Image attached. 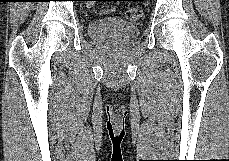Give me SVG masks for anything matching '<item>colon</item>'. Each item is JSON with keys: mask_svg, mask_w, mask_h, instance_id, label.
Masks as SVG:
<instances>
[{"mask_svg": "<svg viewBox=\"0 0 229 161\" xmlns=\"http://www.w3.org/2000/svg\"><path fill=\"white\" fill-rule=\"evenodd\" d=\"M95 1L98 0H89V2L91 3L90 5L92 6ZM141 15L142 11L140 8H129L125 13V16L128 20H138Z\"/></svg>", "mask_w": 229, "mask_h": 161, "instance_id": "5ec220e1", "label": "colon"}]
</instances>
